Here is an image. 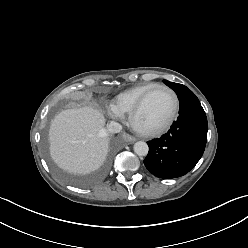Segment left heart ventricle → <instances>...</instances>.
Returning a JSON list of instances; mask_svg holds the SVG:
<instances>
[{
    "mask_svg": "<svg viewBox=\"0 0 248 248\" xmlns=\"http://www.w3.org/2000/svg\"><path fill=\"white\" fill-rule=\"evenodd\" d=\"M173 108V99L164 89L154 90L146 99L136 118V125L144 130H152L169 118Z\"/></svg>",
    "mask_w": 248,
    "mask_h": 248,
    "instance_id": "obj_1",
    "label": "left heart ventricle"
}]
</instances>
